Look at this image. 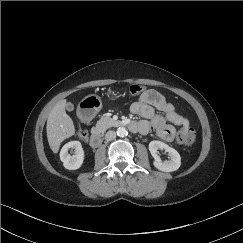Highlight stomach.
I'll return each instance as SVG.
<instances>
[{"instance_id":"stomach-1","label":"stomach","mask_w":243,"mask_h":243,"mask_svg":"<svg viewBox=\"0 0 243 243\" xmlns=\"http://www.w3.org/2000/svg\"><path fill=\"white\" fill-rule=\"evenodd\" d=\"M115 97V96H114ZM102 108V101L97 95L91 94L85 97L79 103V109L82 112H89L92 115L98 113Z\"/></svg>"}]
</instances>
